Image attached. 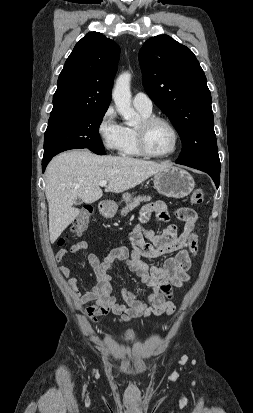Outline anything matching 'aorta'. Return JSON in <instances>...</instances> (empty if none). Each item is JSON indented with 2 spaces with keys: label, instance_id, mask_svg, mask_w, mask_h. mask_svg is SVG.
<instances>
[{
  "label": "aorta",
  "instance_id": "762f6f07",
  "mask_svg": "<svg viewBox=\"0 0 253 413\" xmlns=\"http://www.w3.org/2000/svg\"><path fill=\"white\" fill-rule=\"evenodd\" d=\"M130 82L131 74L128 72L122 73L116 80L112 98L118 113L126 120L128 125H133L136 122L137 113L131 105Z\"/></svg>",
  "mask_w": 253,
  "mask_h": 413
}]
</instances>
